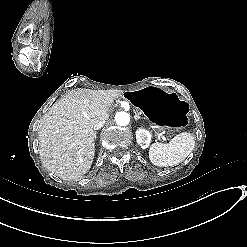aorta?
<instances>
[{"label":"aorta","instance_id":"aorta-1","mask_svg":"<svg viewBox=\"0 0 247 247\" xmlns=\"http://www.w3.org/2000/svg\"><path fill=\"white\" fill-rule=\"evenodd\" d=\"M115 122L119 126H126L130 122V115L126 112H117L115 115Z\"/></svg>","mask_w":247,"mask_h":247}]
</instances>
